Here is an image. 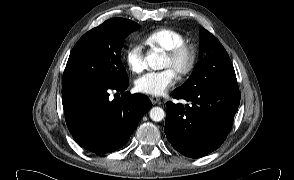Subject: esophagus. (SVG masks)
Segmentation results:
<instances>
[{"mask_svg":"<svg viewBox=\"0 0 294 180\" xmlns=\"http://www.w3.org/2000/svg\"><path fill=\"white\" fill-rule=\"evenodd\" d=\"M150 99L153 104L160 103V98H158V97L152 96Z\"/></svg>","mask_w":294,"mask_h":180,"instance_id":"34e87169","label":"esophagus"}]
</instances>
